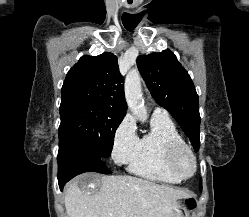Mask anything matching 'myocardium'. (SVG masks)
<instances>
[{
    "label": "myocardium",
    "instance_id": "f54148a6",
    "mask_svg": "<svg viewBox=\"0 0 249 217\" xmlns=\"http://www.w3.org/2000/svg\"><path fill=\"white\" fill-rule=\"evenodd\" d=\"M183 156H188L191 160L189 171L180 168V160ZM168 166L170 170L182 179L192 177L197 171V159L192 149L185 143H174L168 150Z\"/></svg>",
    "mask_w": 249,
    "mask_h": 217
}]
</instances>
